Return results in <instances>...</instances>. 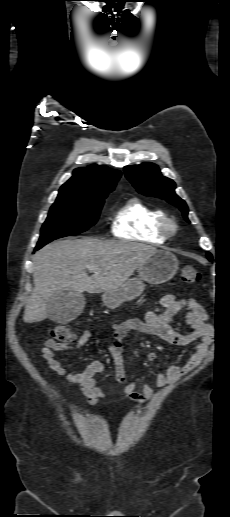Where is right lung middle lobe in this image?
<instances>
[{
  "label": "right lung middle lobe",
  "mask_w": 230,
  "mask_h": 517,
  "mask_svg": "<svg viewBox=\"0 0 230 517\" xmlns=\"http://www.w3.org/2000/svg\"><path fill=\"white\" fill-rule=\"evenodd\" d=\"M108 193L88 199H56L41 228L37 246L41 248L52 240L88 230L97 222Z\"/></svg>",
  "instance_id": "right-lung-middle-lobe-1"
}]
</instances>
